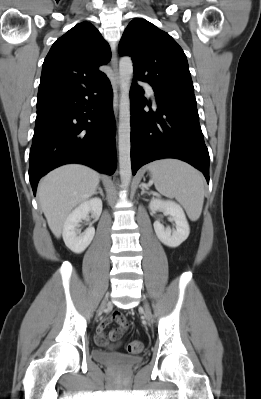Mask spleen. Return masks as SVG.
I'll list each match as a JSON object with an SVG mask.
<instances>
[{
  "mask_svg": "<svg viewBox=\"0 0 261 399\" xmlns=\"http://www.w3.org/2000/svg\"><path fill=\"white\" fill-rule=\"evenodd\" d=\"M155 188L161 194L175 198L196 221L202 212L205 180L192 166L176 159H162L147 166Z\"/></svg>",
  "mask_w": 261,
  "mask_h": 399,
  "instance_id": "obj_1",
  "label": "spleen"
}]
</instances>
